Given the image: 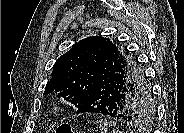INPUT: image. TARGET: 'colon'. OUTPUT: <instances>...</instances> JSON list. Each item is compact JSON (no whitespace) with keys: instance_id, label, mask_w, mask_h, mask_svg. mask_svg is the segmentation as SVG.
<instances>
[{"instance_id":"obj_1","label":"colon","mask_w":184,"mask_h":133,"mask_svg":"<svg viewBox=\"0 0 184 133\" xmlns=\"http://www.w3.org/2000/svg\"><path fill=\"white\" fill-rule=\"evenodd\" d=\"M57 133H72V130L68 125L62 124L58 127Z\"/></svg>"}]
</instances>
